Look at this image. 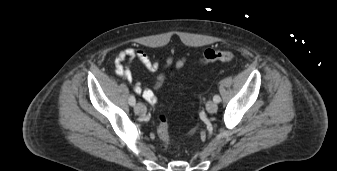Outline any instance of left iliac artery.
Returning a JSON list of instances; mask_svg holds the SVG:
<instances>
[{"mask_svg": "<svg viewBox=\"0 0 337 171\" xmlns=\"http://www.w3.org/2000/svg\"><path fill=\"white\" fill-rule=\"evenodd\" d=\"M213 101L216 102V103H219L221 101L220 96L219 95H214Z\"/></svg>", "mask_w": 337, "mask_h": 171, "instance_id": "obj_1", "label": "left iliac artery"}]
</instances>
